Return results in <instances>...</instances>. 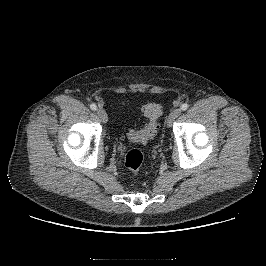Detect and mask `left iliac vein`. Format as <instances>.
Instances as JSON below:
<instances>
[{"label": "left iliac vein", "mask_w": 266, "mask_h": 266, "mask_svg": "<svg viewBox=\"0 0 266 266\" xmlns=\"http://www.w3.org/2000/svg\"><path fill=\"white\" fill-rule=\"evenodd\" d=\"M181 114V110L179 108H176L174 110H172V112L170 113L168 119H167V125L171 126V124L173 123V121L179 117Z\"/></svg>", "instance_id": "obj_1"}]
</instances>
